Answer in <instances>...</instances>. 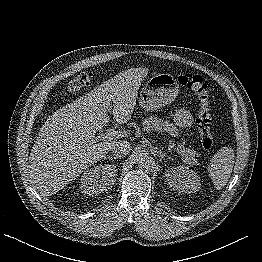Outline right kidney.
<instances>
[{"label":"right kidney","instance_id":"ca27d5eb","mask_svg":"<svg viewBox=\"0 0 262 262\" xmlns=\"http://www.w3.org/2000/svg\"><path fill=\"white\" fill-rule=\"evenodd\" d=\"M117 169L114 165H100L86 170L81 176V190L84 195L108 191L116 180Z\"/></svg>","mask_w":262,"mask_h":262}]
</instances>
